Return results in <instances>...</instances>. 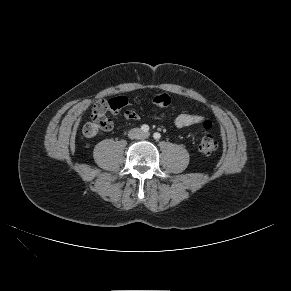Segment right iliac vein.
Wrapping results in <instances>:
<instances>
[{
    "instance_id": "obj_1",
    "label": "right iliac vein",
    "mask_w": 291,
    "mask_h": 291,
    "mask_svg": "<svg viewBox=\"0 0 291 291\" xmlns=\"http://www.w3.org/2000/svg\"><path fill=\"white\" fill-rule=\"evenodd\" d=\"M128 136L132 139L139 138L141 136L139 129L134 128L129 131Z\"/></svg>"
}]
</instances>
